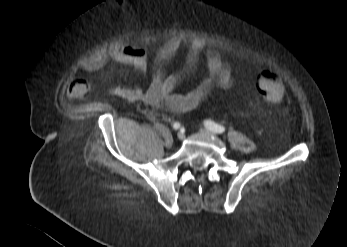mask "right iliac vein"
<instances>
[{"label": "right iliac vein", "mask_w": 347, "mask_h": 247, "mask_svg": "<svg viewBox=\"0 0 347 247\" xmlns=\"http://www.w3.org/2000/svg\"><path fill=\"white\" fill-rule=\"evenodd\" d=\"M177 137H178L179 140H183L184 137H185V135H184L182 132H179V133L177 134Z\"/></svg>", "instance_id": "1"}]
</instances>
